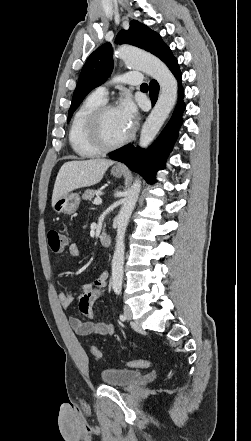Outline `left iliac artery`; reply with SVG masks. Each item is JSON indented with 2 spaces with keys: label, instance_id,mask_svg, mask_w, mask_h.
Segmentation results:
<instances>
[{
  "label": "left iliac artery",
  "instance_id": "44dca946",
  "mask_svg": "<svg viewBox=\"0 0 251 441\" xmlns=\"http://www.w3.org/2000/svg\"><path fill=\"white\" fill-rule=\"evenodd\" d=\"M115 293L119 295V294L121 293V290H120V289H116V290H115ZM119 318H120L121 321H125V320H126V317H125V315H123V314H121V315L119 316Z\"/></svg>",
  "mask_w": 251,
  "mask_h": 441
}]
</instances>
